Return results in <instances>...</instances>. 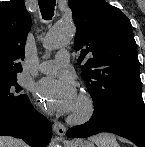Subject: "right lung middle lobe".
<instances>
[{"instance_id":"obj_1","label":"right lung middle lobe","mask_w":145,"mask_h":147,"mask_svg":"<svg viewBox=\"0 0 145 147\" xmlns=\"http://www.w3.org/2000/svg\"><path fill=\"white\" fill-rule=\"evenodd\" d=\"M21 90L16 75L0 77V112L24 108L29 98Z\"/></svg>"}]
</instances>
